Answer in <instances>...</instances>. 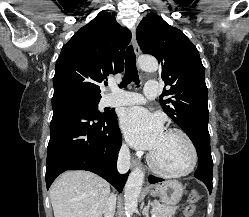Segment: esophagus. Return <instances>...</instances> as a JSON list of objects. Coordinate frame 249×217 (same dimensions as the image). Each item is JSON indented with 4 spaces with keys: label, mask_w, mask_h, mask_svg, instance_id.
Returning <instances> with one entry per match:
<instances>
[{
    "label": "esophagus",
    "mask_w": 249,
    "mask_h": 217,
    "mask_svg": "<svg viewBox=\"0 0 249 217\" xmlns=\"http://www.w3.org/2000/svg\"><path fill=\"white\" fill-rule=\"evenodd\" d=\"M132 44L134 47L135 54L138 56L140 54V48L136 40V30L132 28ZM138 165V161L136 158H133L131 161V166L136 167Z\"/></svg>",
    "instance_id": "esophagus-1"
}]
</instances>
